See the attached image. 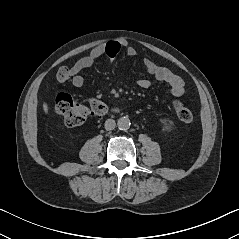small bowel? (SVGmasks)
Returning <instances> with one entry per match:
<instances>
[{
    "label": "small bowel",
    "mask_w": 239,
    "mask_h": 239,
    "mask_svg": "<svg viewBox=\"0 0 239 239\" xmlns=\"http://www.w3.org/2000/svg\"><path fill=\"white\" fill-rule=\"evenodd\" d=\"M126 44V41L121 39L96 46L88 55L80 58L72 66V84L77 88H81L84 85V78L80 75L81 71L93 66L95 61L102 56L114 58ZM126 53L132 57L136 55V50L133 47H128ZM143 63L146 70L153 75L156 80L165 82L170 86L172 95L181 96L184 93V83L178 75L150 59H144ZM136 83L141 88H148L150 86V81L145 78L137 79Z\"/></svg>",
    "instance_id": "small-bowel-1"
}]
</instances>
